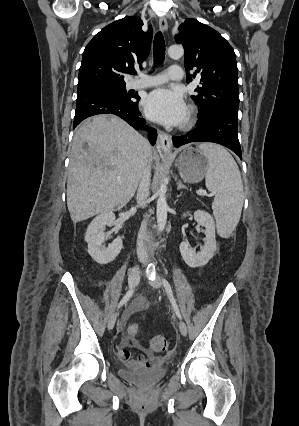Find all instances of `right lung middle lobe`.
Returning <instances> with one entry per match:
<instances>
[{
    "label": "right lung middle lobe",
    "instance_id": "dd1d6c3e",
    "mask_svg": "<svg viewBox=\"0 0 299 426\" xmlns=\"http://www.w3.org/2000/svg\"><path fill=\"white\" fill-rule=\"evenodd\" d=\"M83 90H95V91H103L115 94L124 99H130L131 97H135L134 95H130L127 93L125 89V84H97V85H87V86H78V92Z\"/></svg>",
    "mask_w": 299,
    "mask_h": 426
}]
</instances>
